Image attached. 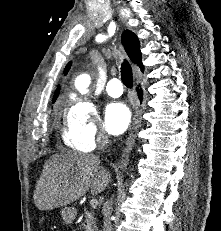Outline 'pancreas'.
<instances>
[{
  "label": "pancreas",
  "mask_w": 221,
  "mask_h": 231,
  "mask_svg": "<svg viewBox=\"0 0 221 231\" xmlns=\"http://www.w3.org/2000/svg\"><path fill=\"white\" fill-rule=\"evenodd\" d=\"M85 213V220L82 223L83 228L85 231H96V218L94 217V213L92 211L84 210Z\"/></svg>",
  "instance_id": "pancreas-1"
}]
</instances>
